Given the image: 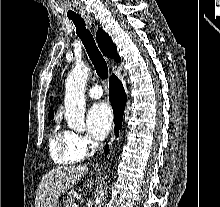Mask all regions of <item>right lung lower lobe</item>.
I'll list each match as a JSON object with an SVG mask.
<instances>
[{"mask_svg": "<svg viewBox=\"0 0 220 207\" xmlns=\"http://www.w3.org/2000/svg\"><path fill=\"white\" fill-rule=\"evenodd\" d=\"M109 98L113 108V112L115 114V131L116 135L118 136L119 129H121L122 117L126 105L127 96L121 81L115 75H112L110 77ZM105 153H108L107 147Z\"/></svg>", "mask_w": 220, "mask_h": 207, "instance_id": "right-lung-lower-lobe-1", "label": "right lung lower lobe"}]
</instances>
